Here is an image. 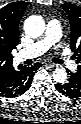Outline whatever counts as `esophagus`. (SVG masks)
I'll use <instances>...</instances> for the list:
<instances>
[{
  "label": "esophagus",
  "instance_id": "1",
  "mask_svg": "<svg viewBox=\"0 0 81 124\" xmlns=\"http://www.w3.org/2000/svg\"><path fill=\"white\" fill-rule=\"evenodd\" d=\"M47 66L51 67V68H54V67H57L58 65L55 64V63H52V62H46L45 63Z\"/></svg>",
  "mask_w": 81,
  "mask_h": 124
}]
</instances>
